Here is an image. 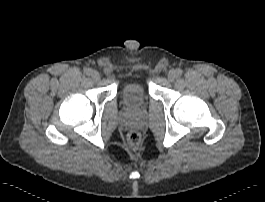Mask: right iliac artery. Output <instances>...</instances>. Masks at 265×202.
<instances>
[{
  "label": "right iliac artery",
  "instance_id": "82829eb1",
  "mask_svg": "<svg viewBox=\"0 0 265 202\" xmlns=\"http://www.w3.org/2000/svg\"><path fill=\"white\" fill-rule=\"evenodd\" d=\"M91 72H92V69H91V68H85V69H84V73H85L86 75H90Z\"/></svg>",
  "mask_w": 265,
  "mask_h": 202
}]
</instances>
